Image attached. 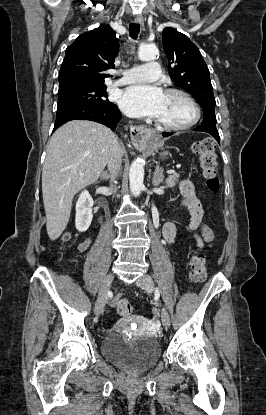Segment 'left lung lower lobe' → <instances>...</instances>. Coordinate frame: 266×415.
<instances>
[{
    "label": "left lung lower lobe",
    "mask_w": 266,
    "mask_h": 415,
    "mask_svg": "<svg viewBox=\"0 0 266 415\" xmlns=\"http://www.w3.org/2000/svg\"><path fill=\"white\" fill-rule=\"evenodd\" d=\"M173 133H166V132H163V136L164 137H167V136H170V135H172ZM217 141H218V143L220 142V137H217V138H215Z\"/></svg>",
    "instance_id": "left-lung-lower-lobe-1"
}]
</instances>
